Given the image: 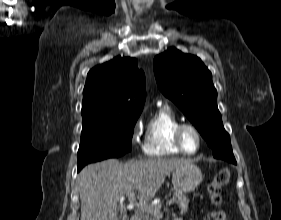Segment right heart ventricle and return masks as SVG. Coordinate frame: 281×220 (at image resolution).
Instances as JSON below:
<instances>
[{"mask_svg":"<svg viewBox=\"0 0 281 220\" xmlns=\"http://www.w3.org/2000/svg\"><path fill=\"white\" fill-rule=\"evenodd\" d=\"M179 124L180 120L175 113L167 105L158 103L157 110L146 127L144 153L154 157L182 154L173 138Z\"/></svg>","mask_w":281,"mask_h":220,"instance_id":"e07e8e85","label":"right heart ventricle"}]
</instances>
